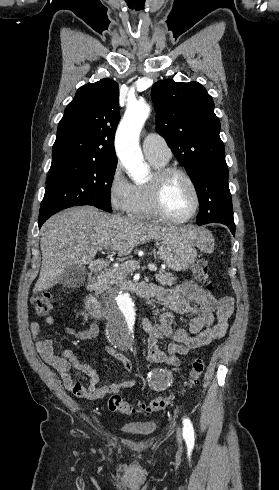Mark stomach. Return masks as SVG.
Instances as JSON below:
<instances>
[{"label":"stomach","mask_w":279,"mask_h":490,"mask_svg":"<svg viewBox=\"0 0 279 490\" xmlns=\"http://www.w3.org/2000/svg\"><path fill=\"white\" fill-rule=\"evenodd\" d=\"M159 258L172 272H185L197 260V250L193 240L183 238L181 234H170L162 240L158 250Z\"/></svg>","instance_id":"obj_1"}]
</instances>
